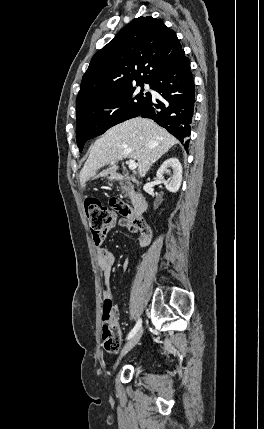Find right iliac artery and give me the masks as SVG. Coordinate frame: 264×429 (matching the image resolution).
<instances>
[{
  "label": "right iliac artery",
  "mask_w": 264,
  "mask_h": 429,
  "mask_svg": "<svg viewBox=\"0 0 264 429\" xmlns=\"http://www.w3.org/2000/svg\"><path fill=\"white\" fill-rule=\"evenodd\" d=\"M141 319H138L136 325L134 326V328L131 330V332L128 334L127 336V340L132 338L134 336V334L139 330V328L141 327Z\"/></svg>",
  "instance_id": "obj_1"
}]
</instances>
